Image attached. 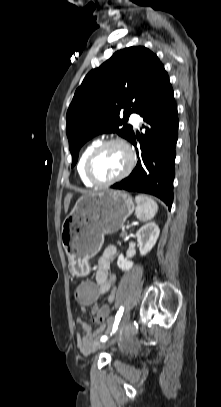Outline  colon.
Instances as JSON below:
<instances>
[{"instance_id": "1", "label": "colon", "mask_w": 221, "mask_h": 407, "mask_svg": "<svg viewBox=\"0 0 221 407\" xmlns=\"http://www.w3.org/2000/svg\"><path fill=\"white\" fill-rule=\"evenodd\" d=\"M99 283H96L94 277H84L82 283H75L73 298L76 300L77 306H81L86 310L88 306L96 305L97 300L100 299ZM111 316V307L104 305L101 307L100 312L95 314L97 321L106 322Z\"/></svg>"}]
</instances>
